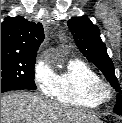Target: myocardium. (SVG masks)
<instances>
[{"instance_id":"1","label":"myocardium","mask_w":122,"mask_h":123,"mask_svg":"<svg viewBox=\"0 0 122 123\" xmlns=\"http://www.w3.org/2000/svg\"><path fill=\"white\" fill-rule=\"evenodd\" d=\"M89 92L90 95L100 103L108 101L112 96V88L103 80L93 82L90 85Z\"/></svg>"}]
</instances>
